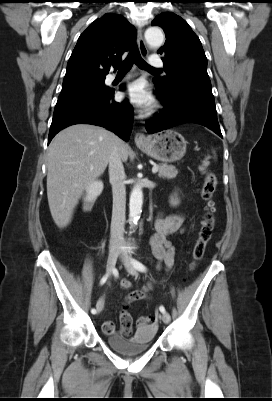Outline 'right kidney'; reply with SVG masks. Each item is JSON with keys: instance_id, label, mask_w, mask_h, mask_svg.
Segmentation results:
<instances>
[{"instance_id": "1", "label": "right kidney", "mask_w": 272, "mask_h": 401, "mask_svg": "<svg viewBox=\"0 0 272 401\" xmlns=\"http://www.w3.org/2000/svg\"><path fill=\"white\" fill-rule=\"evenodd\" d=\"M103 191L102 181H93L86 188V196L84 197V210H90L92 203L97 199V197Z\"/></svg>"}]
</instances>
